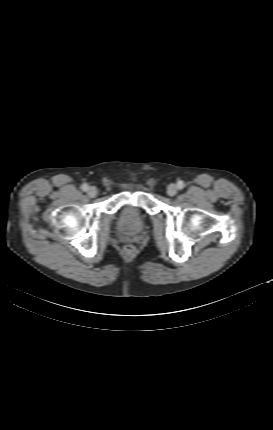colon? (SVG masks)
I'll use <instances>...</instances> for the list:
<instances>
[{
    "label": "colon",
    "instance_id": "1",
    "mask_svg": "<svg viewBox=\"0 0 273 430\" xmlns=\"http://www.w3.org/2000/svg\"><path fill=\"white\" fill-rule=\"evenodd\" d=\"M134 251H135V248H134V246H132V245H126L125 247H124V253L126 254V255H132L133 253H134Z\"/></svg>",
    "mask_w": 273,
    "mask_h": 430
}]
</instances>
